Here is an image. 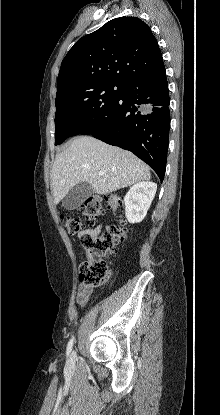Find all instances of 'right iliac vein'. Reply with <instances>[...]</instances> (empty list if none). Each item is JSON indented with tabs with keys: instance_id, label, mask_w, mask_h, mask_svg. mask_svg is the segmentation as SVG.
<instances>
[{
	"instance_id": "1",
	"label": "right iliac vein",
	"mask_w": 220,
	"mask_h": 415,
	"mask_svg": "<svg viewBox=\"0 0 220 415\" xmlns=\"http://www.w3.org/2000/svg\"><path fill=\"white\" fill-rule=\"evenodd\" d=\"M73 358H74V353H72V354L69 356V358H68V363H69V362H71V361L73 360Z\"/></svg>"
}]
</instances>
